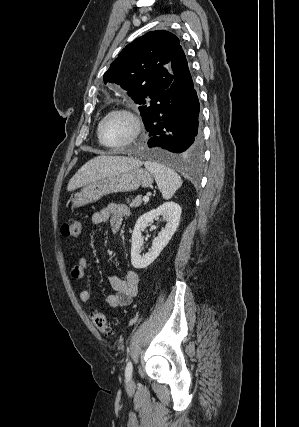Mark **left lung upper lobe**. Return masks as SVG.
<instances>
[{"mask_svg":"<svg viewBox=\"0 0 299 427\" xmlns=\"http://www.w3.org/2000/svg\"><path fill=\"white\" fill-rule=\"evenodd\" d=\"M179 45L178 37L168 31L146 33L119 53L105 72L104 83L127 90L143 115L172 83L171 62Z\"/></svg>","mask_w":299,"mask_h":427,"instance_id":"5c2ea615","label":"left lung upper lobe"}]
</instances>
